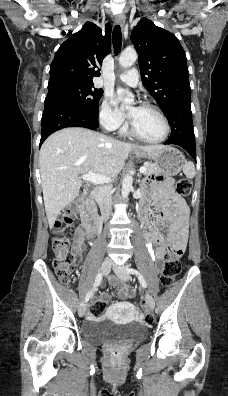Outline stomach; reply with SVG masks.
<instances>
[{"mask_svg": "<svg viewBox=\"0 0 228 396\" xmlns=\"http://www.w3.org/2000/svg\"><path fill=\"white\" fill-rule=\"evenodd\" d=\"M135 154L139 158L153 160L159 171L168 176L177 175L186 162L183 154L179 150L170 146H164L163 148L152 152L135 150Z\"/></svg>", "mask_w": 228, "mask_h": 396, "instance_id": "0dacf381", "label": "stomach"}]
</instances>
